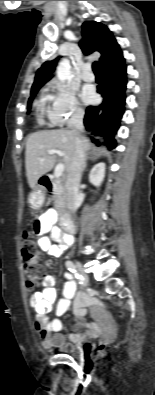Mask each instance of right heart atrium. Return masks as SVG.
<instances>
[{"instance_id":"right-heart-atrium-1","label":"right heart atrium","mask_w":155,"mask_h":395,"mask_svg":"<svg viewBox=\"0 0 155 395\" xmlns=\"http://www.w3.org/2000/svg\"><path fill=\"white\" fill-rule=\"evenodd\" d=\"M46 100L49 102L47 117L52 126L63 127L81 120L83 110L76 93L69 85L53 82L48 88Z\"/></svg>"}]
</instances>
